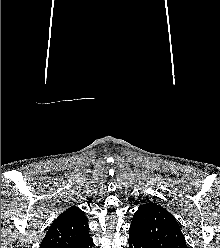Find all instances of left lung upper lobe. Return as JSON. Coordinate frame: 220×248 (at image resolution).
<instances>
[{
	"mask_svg": "<svg viewBox=\"0 0 220 248\" xmlns=\"http://www.w3.org/2000/svg\"><path fill=\"white\" fill-rule=\"evenodd\" d=\"M130 230L153 248H187L175 217L156 203L148 201L140 205Z\"/></svg>",
	"mask_w": 220,
	"mask_h": 248,
	"instance_id": "obj_1",
	"label": "left lung upper lobe"
}]
</instances>
